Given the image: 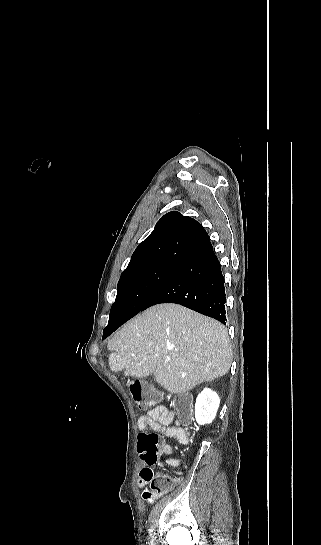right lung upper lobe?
Here are the masks:
<instances>
[{"instance_id":"obj_1","label":"right lung upper lobe","mask_w":321,"mask_h":545,"mask_svg":"<svg viewBox=\"0 0 321 545\" xmlns=\"http://www.w3.org/2000/svg\"><path fill=\"white\" fill-rule=\"evenodd\" d=\"M209 244V236L198 221L172 211L136 248L124 272L152 265L180 267Z\"/></svg>"}]
</instances>
